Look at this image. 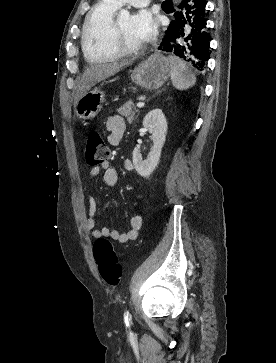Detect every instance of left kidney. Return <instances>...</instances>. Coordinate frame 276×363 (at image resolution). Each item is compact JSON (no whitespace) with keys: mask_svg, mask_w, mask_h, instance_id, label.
<instances>
[{"mask_svg":"<svg viewBox=\"0 0 276 363\" xmlns=\"http://www.w3.org/2000/svg\"><path fill=\"white\" fill-rule=\"evenodd\" d=\"M143 126L148 129L153 141V147L146 159L142 158L141 150H133V164L137 173L142 177H149L157 167L161 150L167 133V121L161 109H153L143 120Z\"/></svg>","mask_w":276,"mask_h":363,"instance_id":"1","label":"left kidney"}]
</instances>
